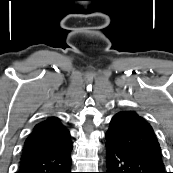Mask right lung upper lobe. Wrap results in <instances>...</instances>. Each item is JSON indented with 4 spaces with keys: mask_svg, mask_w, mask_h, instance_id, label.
Wrapping results in <instances>:
<instances>
[{
    "mask_svg": "<svg viewBox=\"0 0 173 173\" xmlns=\"http://www.w3.org/2000/svg\"><path fill=\"white\" fill-rule=\"evenodd\" d=\"M70 143L69 131L57 117L38 123L24 143L22 157L65 147Z\"/></svg>",
    "mask_w": 173,
    "mask_h": 173,
    "instance_id": "obj_1",
    "label": "right lung upper lobe"
}]
</instances>
